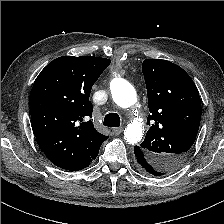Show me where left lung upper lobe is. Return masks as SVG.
Segmentation results:
<instances>
[{
	"label": "left lung upper lobe",
	"mask_w": 224,
	"mask_h": 224,
	"mask_svg": "<svg viewBox=\"0 0 224 224\" xmlns=\"http://www.w3.org/2000/svg\"><path fill=\"white\" fill-rule=\"evenodd\" d=\"M150 126L140 149L159 173L174 172L188 156L201 120V100L191 77L167 60L146 59L142 65Z\"/></svg>",
	"instance_id": "left-lung-upper-lobe-1"
}]
</instances>
